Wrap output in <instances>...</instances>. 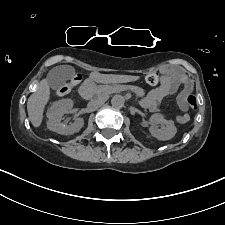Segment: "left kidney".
<instances>
[{
    "label": "left kidney",
    "instance_id": "left-kidney-1",
    "mask_svg": "<svg viewBox=\"0 0 225 225\" xmlns=\"http://www.w3.org/2000/svg\"><path fill=\"white\" fill-rule=\"evenodd\" d=\"M150 133L158 140L166 141L172 139L177 133V128L172 120H166L160 113L153 114L150 118ZM161 124L162 128L158 129L157 125Z\"/></svg>",
    "mask_w": 225,
    "mask_h": 225
}]
</instances>
